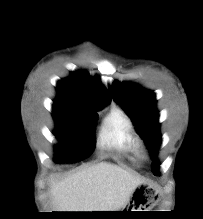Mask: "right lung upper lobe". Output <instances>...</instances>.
Wrapping results in <instances>:
<instances>
[{
    "mask_svg": "<svg viewBox=\"0 0 203 219\" xmlns=\"http://www.w3.org/2000/svg\"><path fill=\"white\" fill-rule=\"evenodd\" d=\"M56 90L59 100L80 103L93 111L111 101V95L102 87L100 78L82 71L72 72L69 78L59 81Z\"/></svg>",
    "mask_w": 203,
    "mask_h": 219,
    "instance_id": "right-lung-upper-lobe-1",
    "label": "right lung upper lobe"
}]
</instances>
